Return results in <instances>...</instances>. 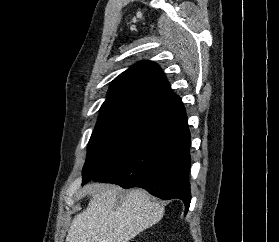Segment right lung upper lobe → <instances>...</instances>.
Masks as SVG:
<instances>
[{
  "mask_svg": "<svg viewBox=\"0 0 279 242\" xmlns=\"http://www.w3.org/2000/svg\"><path fill=\"white\" fill-rule=\"evenodd\" d=\"M181 107V98L173 93L159 65L142 61L113 80L100 113L142 112L162 116Z\"/></svg>",
  "mask_w": 279,
  "mask_h": 242,
  "instance_id": "obj_1",
  "label": "right lung upper lobe"
}]
</instances>
